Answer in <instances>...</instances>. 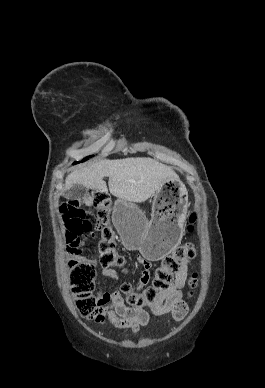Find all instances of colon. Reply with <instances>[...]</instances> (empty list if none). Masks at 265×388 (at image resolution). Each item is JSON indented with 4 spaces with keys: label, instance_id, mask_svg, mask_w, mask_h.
Returning a JSON list of instances; mask_svg holds the SVG:
<instances>
[{
    "label": "colon",
    "instance_id": "5ec220e1",
    "mask_svg": "<svg viewBox=\"0 0 265 388\" xmlns=\"http://www.w3.org/2000/svg\"><path fill=\"white\" fill-rule=\"evenodd\" d=\"M85 203L91 205L95 212V222L87 219V212L82 208L83 202L79 200L65 201L59 204V212L66 227L67 250L71 256L68 262L72 293L79 313L95 322H101L103 315L99 309V301L94 294L96 284V271L94 265L82 257V243L84 237L90 234L95 227L101 232L98 245L100 263L103 267H122L124 257L116 250V233L108 222L111 200L104 191H93L87 195ZM195 221V215L190 217V223ZM188 229L191 231L193 226ZM196 256L193 244L187 243L178 246L170 255L166 256L156 268L150 285L143 291H137L131 283H123L120 293L132 308L152 306L159 294L165 291L180 264ZM197 274L190 279V285L195 287ZM192 294V291L190 292Z\"/></svg>",
    "mask_w": 265,
    "mask_h": 388
}]
</instances>
